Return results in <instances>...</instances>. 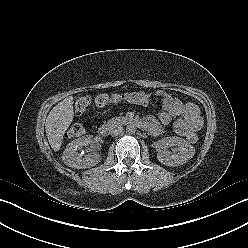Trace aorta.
<instances>
[{
	"label": "aorta",
	"mask_w": 248,
	"mask_h": 248,
	"mask_svg": "<svg viewBox=\"0 0 248 248\" xmlns=\"http://www.w3.org/2000/svg\"><path fill=\"white\" fill-rule=\"evenodd\" d=\"M136 126L134 125V124H129V125H127V127H126V131H127V133H129V134H134L135 132H136Z\"/></svg>",
	"instance_id": "1"
}]
</instances>
